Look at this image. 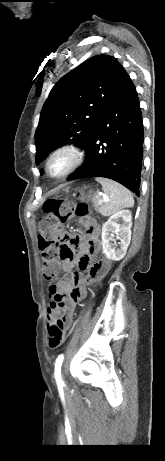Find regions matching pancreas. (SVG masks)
I'll use <instances>...</instances> for the list:
<instances>
[{"instance_id": "obj_1", "label": "pancreas", "mask_w": 165, "mask_h": 461, "mask_svg": "<svg viewBox=\"0 0 165 461\" xmlns=\"http://www.w3.org/2000/svg\"><path fill=\"white\" fill-rule=\"evenodd\" d=\"M98 200H99V199H98L97 197H94V198L92 199V201H93V206H94L95 210L100 211V210H101V207H100L99 204H98Z\"/></svg>"}]
</instances>
